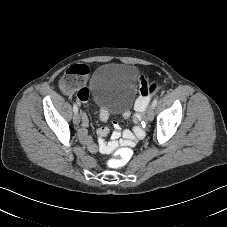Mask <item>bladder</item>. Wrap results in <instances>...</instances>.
Returning <instances> with one entry per match:
<instances>
[{"instance_id":"bladder-1","label":"bladder","mask_w":227,"mask_h":227,"mask_svg":"<svg viewBox=\"0 0 227 227\" xmlns=\"http://www.w3.org/2000/svg\"><path fill=\"white\" fill-rule=\"evenodd\" d=\"M138 77L139 70L136 66L121 63L103 64L95 70L90 83V92L95 104L115 113L125 111L136 97Z\"/></svg>"}]
</instances>
